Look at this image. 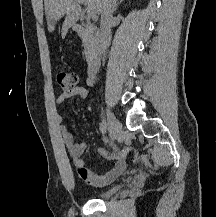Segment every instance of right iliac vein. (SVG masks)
I'll return each mask as SVG.
<instances>
[{
  "label": "right iliac vein",
  "mask_w": 216,
  "mask_h": 217,
  "mask_svg": "<svg viewBox=\"0 0 216 217\" xmlns=\"http://www.w3.org/2000/svg\"><path fill=\"white\" fill-rule=\"evenodd\" d=\"M107 123L110 137L112 141H114L119 136L122 126L115 115L109 109H107Z\"/></svg>",
  "instance_id": "63e3f726"
}]
</instances>
